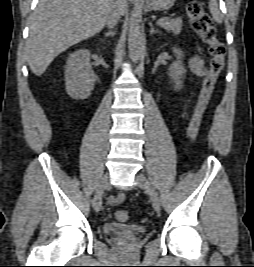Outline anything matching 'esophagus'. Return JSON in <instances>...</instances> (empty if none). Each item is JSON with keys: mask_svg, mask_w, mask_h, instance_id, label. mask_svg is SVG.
<instances>
[{"mask_svg": "<svg viewBox=\"0 0 254 267\" xmlns=\"http://www.w3.org/2000/svg\"><path fill=\"white\" fill-rule=\"evenodd\" d=\"M130 1H132V2H139V1H141V0H130Z\"/></svg>", "mask_w": 254, "mask_h": 267, "instance_id": "obj_1", "label": "esophagus"}]
</instances>
